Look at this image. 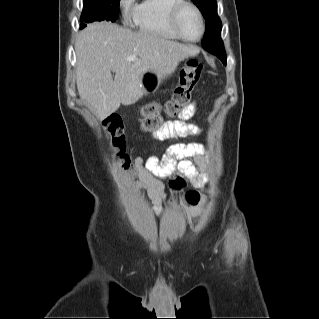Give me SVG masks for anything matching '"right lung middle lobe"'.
I'll return each instance as SVG.
<instances>
[{
    "label": "right lung middle lobe",
    "mask_w": 319,
    "mask_h": 319,
    "mask_svg": "<svg viewBox=\"0 0 319 319\" xmlns=\"http://www.w3.org/2000/svg\"><path fill=\"white\" fill-rule=\"evenodd\" d=\"M120 0H84L83 12L80 20V29L86 26L85 23L93 21H112L114 22L119 15Z\"/></svg>",
    "instance_id": "right-lung-middle-lobe-1"
}]
</instances>
